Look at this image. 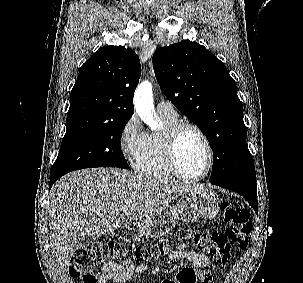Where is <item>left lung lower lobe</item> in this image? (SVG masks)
Segmentation results:
<instances>
[{"instance_id": "0a47b994", "label": "left lung lower lobe", "mask_w": 303, "mask_h": 283, "mask_svg": "<svg viewBox=\"0 0 303 283\" xmlns=\"http://www.w3.org/2000/svg\"><path fill=\"white\" fill-rule=\"evenodd\" d=\"M210 183L239 193L250 203L255 212H258L256 178L248 177L231 181Z\"/></svg>"}]
</instances>
